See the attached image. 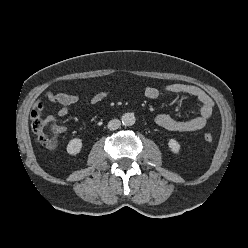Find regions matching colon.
I'll use <instances>...</instances> for the list:
<instances>
[{"label": "colon", "mask_w": 248, "mask_h": 248, "mask_svg": "<svg viewBox=\"0 0 248 248\" xmlns=\"http://www.w3.org/2000/svg\"><path fill=\"white\" fill-rule=\"evenodd\" d=\"M33 131L39 141L48 149H54L57 146V139L60 133V127L56 121L50 117L38 118L33 122ZM204 140L212 142L213 136L210 133L204 135Z\"/></svg>", "instance_id": "colon-1"}]
</instances>
